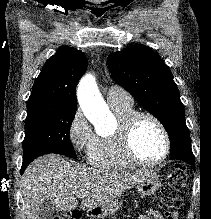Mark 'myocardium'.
Wrapping results in <instances>:
<instances>
[{
	"label": "myocardium",
	"instance_id": "obj_1",
	"mask_svg": "<svg viewBox=\"0 0 211 219\" xmlns=\"http://www.w3.org/2000/svg\"><path fill=\"white\" fill-rule=\"evenodd\" d=\"M142 118L152 120L160 129L164 139V152L162 156L154 162H145L141 160L133 146V134L138 121ZM120 146L124 157L132 164L142 168H154L162 165L169 157L171 151V141L169 133L163 122L153 113L142 111L133 112L129 115L119 129Z\"/></svg>",
	"mask_w": 211,
	"mask_h": 219
}]
</instances>
